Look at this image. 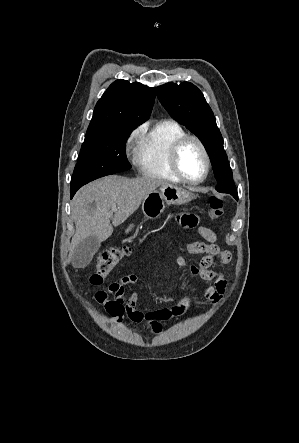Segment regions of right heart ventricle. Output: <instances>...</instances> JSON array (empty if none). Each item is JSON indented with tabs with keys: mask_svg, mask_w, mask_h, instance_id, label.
Instances as JSON below:
<instances>
[{
	"mask_svg": "<svg viewBox=\"0 0 299 443\" xmlns=\"http://www.w3.org/2000/svg\"><path fill=\"white\" fill-rule=\"evenodd\" d=\"M186 135L184 128L175 120L157 122L138 145L137 163L141 173L150 178L180 182L170 163L172 145Z\"/></svg>",
	"mask_w": 299,
	"mask_h": 443,
	"instance_id": "1",
	"label": "right heart ventricle"
}]
</instances>
